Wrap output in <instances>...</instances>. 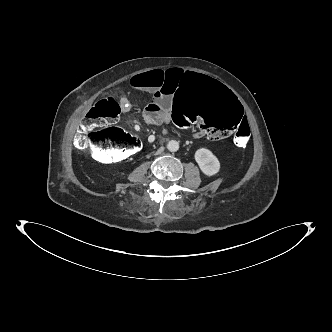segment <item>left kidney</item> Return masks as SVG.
<instances>
[{"label":"left kidney","mask_w":332,"mask_h":332,"mask_svg":"<svg viewBox=\"0 0 332 332\" xmlns=\"http://www.w3.org/2000/svg\"><path fill=\"white\" fill-rule=\"evenodd\" d=\"M195 160L201 171L207 176H213L220 170V162L218 158L206 148L196 150Z\"/></svg>","instance_id":"1"}]
</instances>
